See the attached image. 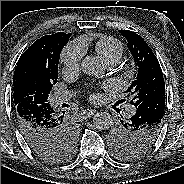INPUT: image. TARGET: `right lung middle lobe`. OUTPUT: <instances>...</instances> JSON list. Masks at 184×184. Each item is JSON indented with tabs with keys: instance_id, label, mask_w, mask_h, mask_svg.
I'll list each match as a JSON object with an SVG mask.
<instances>
[{
	"instance_id": "1",
	"label": "right lung middle lobe",
	"mask_w": 184,
	"mask_h": 184,
	"mask_svg": "<svg viewBox=\"0 0 184 184\" xmlns=\"http://www.w3.org/2000/svg\"><path fill=\"white\" fill-rule=\"evenodd\" d=\"M62 46H56L52 56V67L42 64L27 66L13 87L15 105L22 102L43 104L48 102L49 93L57 83L58 63ZM62 141L49 150L36 154L48 162H60L71 156L75 148L76 129L69 127L62 134Z\"/></svg>"
}]
</instances>
